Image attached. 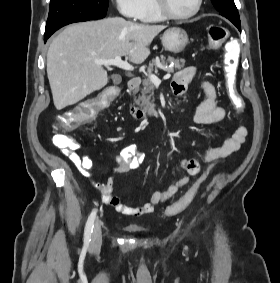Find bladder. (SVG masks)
Instances as JSON below:
<instances>
[{"instance_id":"31cf9c89","label":"bladder","mask_w":280,"mask_h":283,"mask_svg":"<svg viewBox=\"0 0 280 283\" xmlns=\"http://www.w3.org/2000/svg\"><path fill=\"white\" fill-rule=\"evenodd\" d=\"M125 228L127 230H130V231L135 232V233H140V232H144L145 231V228H143L141 226H138V225H128Z\"/></svg>"}]
</instances>
